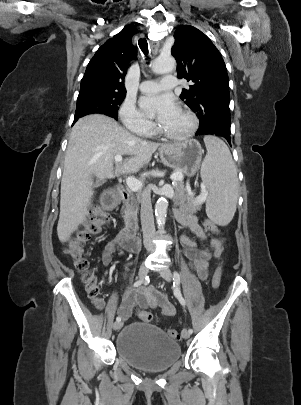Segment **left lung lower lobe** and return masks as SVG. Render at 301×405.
Instances as JSON below:
<instances>
[{"label": "left lung lower lobe", "instance_id": "obj_1", "mask_svg": "<svg viewBox=\"0 0 301 405\" xmlns=\"http://www.w3.org/2000/svg\"><path fill=\"white\" fill-rule=\"evenodd\" d=\"M196 135L221 136L224 137L231 145L230 129L223 126L214 125L203 129L199 128V130L196 132Z\"/></svg>", "mask_w": 301, "mask_h": 405}]
</instances>
